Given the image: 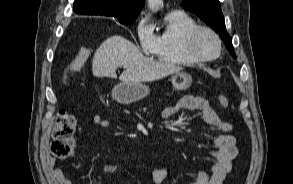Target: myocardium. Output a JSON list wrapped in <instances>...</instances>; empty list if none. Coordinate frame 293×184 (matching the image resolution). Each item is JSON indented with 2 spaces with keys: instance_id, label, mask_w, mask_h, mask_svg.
Segmentation results:
<instances>
[{
  "instance_id": "obj_1",
  "label": "myocardium",
  "mask_w": 293,
  "mask_h": 184,
  "mask_svg": "<svg viewBox=\"0 0 293 184\" xmlns=\"http://www.w3.org/2000/svg\"><path fill=\"white\" fill-rule=\"evenodd\" d=\"M202 32H207L215 38L218 45V51L215 55L204 56L198 53V51L196 50L195 42L198 35ZM184 48L187 55L191 57L193 60H195L196 62H209V61H213L217 59L221 55L222 40L220 36L212 28L207 26H197L193 28L192 30H190L188 34L186 35L185 41H184Z\"/></svg>"
}]
</instances>
